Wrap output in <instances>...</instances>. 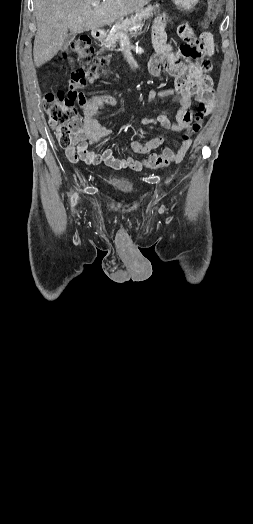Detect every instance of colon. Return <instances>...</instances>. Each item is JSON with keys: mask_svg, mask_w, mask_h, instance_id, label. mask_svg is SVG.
Wrapping results in <instances>:
<instances>
[{"mask_svg": "<svg viewBox=\"0 0 253 524\" xmlns=\"http://www.w3.org/2000/svg\"><path fill=\"white\" fill-rule=\"evenodd\" d=\"M221 8L222 0H206L204 24H213L220 15ZM67 54L70 63L75 67L69 78L68 90L47 92L44 96V107L50 126L55 132L59 145L65 149L76 144V133L84 124L79 116V109L84 107L86 100L80 89L102 75L111 60L109 53H96L94 56L91 38L86 34L77 36L71 42ZM206 117V106L200 102L194 110L193 123L189 131L174 147H167L161 153L149 156L145 161L146 166L152 169L163 168L172 162L180 161L191 135L200 131Z\"/></svg>", "mask_w": 253, "mask_h": 524, "instance_id": "1", "label": "colon"}]
</instances>
